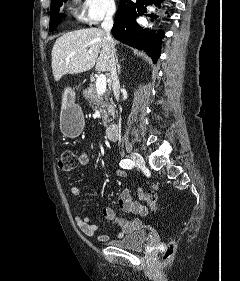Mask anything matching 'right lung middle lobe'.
<instances>
[{
    "label": "right lung middle lobe",
    "instance_id": "right-lung-middle-lobe-1",
    "mask_svg": "<svg viewBox=\"0 0 240 281\" xmlns=\"http://www.w3.org/2000/svg\"><path fill=\"white\" fill-rule=\"evenodd\" d=\"M67 0H51V8H50V24L49 30H54L61 20V13H58L59 8L62 6L63 2Z\"/></svg>",
    "mask_w": 240,
    "mask_h": 281
}]
</instances>
